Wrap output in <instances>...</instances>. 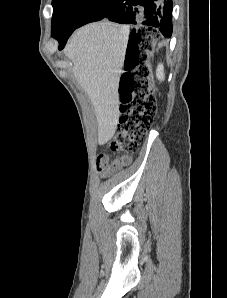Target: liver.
Wrapping results in <instances>:
<instances>
[{"mask_svg": "<svg viewBox=\"0 0 227 298\" xmlns=\"http://www.w3.org/2000/svg\"><path fill=\"white\" fill-rule=\"evenodd\" d=\"M129 27L109 21L78 29L65 48L75 79L94 106L98 143L115 134L119 118V80L129 39Z\"/></svg>", "mask_w": 227, "mask_h": 298, "instance_id": "6515ba94", "label": "liver"}]
</instances>
